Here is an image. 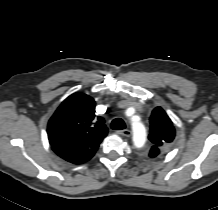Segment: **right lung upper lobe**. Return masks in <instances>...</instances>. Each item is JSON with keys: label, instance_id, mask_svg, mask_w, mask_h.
I'll use <instances>...</instances> for the list:
<instances>
[{"label": "right lung upper lobe", "instance_id": "1", "mask_svg": "<svg viewBox=\"0 0 218 210\" xmlns=\"http://www.w3.org/2000/svg\"><path fill=\"white\" fill-rule=\"evenodd\" d=\"M94 111V99L84 93H74L66 98L48 123L51 146L95 153L108 129L104 119L96 117Z\"/></svg>", "mask_w": 218, "mask_h": 210}]
</instances>
